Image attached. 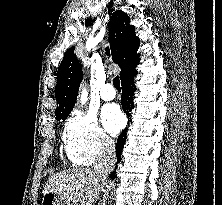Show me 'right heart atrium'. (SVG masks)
<instances>
[{"label": "right heart atrium", "mask_w": 222, "mask_h": 205, "mask_svg": "<svg viewBox=\"0 0 222 205\" xmlns=\"http://www.w3.org/2000/svg\"><path fill=\"white\" fill-rule=\"evenodd\" d=\"M66 153L79 165H90L97 158L109 154L113 139L104 131L92 114L76 113L67 122L64 130Z\"/></svg>", "instance_id": "obj_1"}]
</instances>
